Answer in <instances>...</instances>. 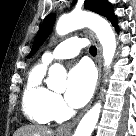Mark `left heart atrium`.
<instances>
[{
    "label": "left heart atrium",
    "instance_id": "left-heart-atrium-1",
    "mask_svg": "<svg viewBox=\"0 0 136 136\" xmlns=\"http://www.w3.org/2000/svg\"><path fill=\"white\" fill-rule=\"evenodd\" d=\"M95 72L86 62L77 64L69 73L66 90V101L71 107L85 105L92 96L95 86Z\"/></svg>",
    "mask_w": 136,
    "mask_h": 136
}]
</instances>
